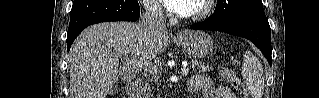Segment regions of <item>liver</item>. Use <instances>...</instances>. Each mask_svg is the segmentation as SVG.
I'll use <instances>...</instances> for the list:
<instances>
[{"label": "liver", "instance_id": "1", "mask_svg": "<svg viewBox=\"0 0 319 98\" xmlns=\"http://www.w3.org/2000/svg\"><path fill=\"white\" fill-rule=\"evenodd\" d=\"M168 43L167 33L147 34L140 23L106 22L86 28L69 53L70 98H105L119 77L125 76L119 67L121 57L138 54L149 62Z\"/></svg>", "mask_w": 319, "mask_h": 98}]
</instances>
